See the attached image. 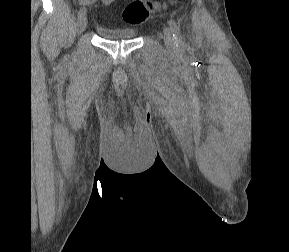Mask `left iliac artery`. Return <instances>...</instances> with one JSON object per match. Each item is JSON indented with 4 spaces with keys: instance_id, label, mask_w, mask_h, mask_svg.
<instances>
[{
    "instance_id": "44dca946",
    "label": "left iliac artery",
    "mask_w": 289,
    "mask_h": 252,
    "mask_svg": "<svg viewBox=\"0 0 289 252\" xmlns=\"http://www.w3.org/2000/svg\"><path fill=\"white\" fill-rule=\"evenodd\" d=\"M168 23L175 39L176 46L181 48L183 46V40L179 27L173 19H170Z\"/></svg>"
}]
</instances>
